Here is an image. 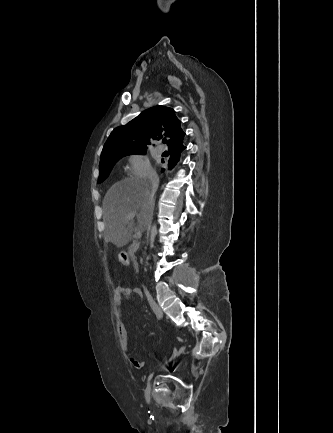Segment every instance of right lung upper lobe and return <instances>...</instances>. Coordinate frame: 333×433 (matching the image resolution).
Segmentation results:
<instances>
[{"label": "right lung upper lobe", "mask_w": 333, "mask_h": 433, "mask_svg": "<svg viewBox=\"0 0 333 433\" xmlns=\"http://www.w3.org/2000/svg\"><path fill=\"white\" fill-rule=\"evenodd\" d=\"M181 121L172 108L165 106L151 107L126 125L115 128L106 141L101 160L113 154L146 150L150 139L159 140L167 137L168 149L183 144L185 133Z\"/></svg>", "instance_id": "right-lung-upper-lobe-1"}]
</instances>
